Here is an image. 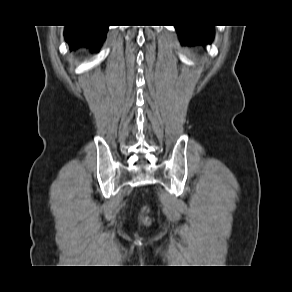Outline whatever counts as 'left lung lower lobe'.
Here are the masks:
<instances>
[{"instance_id": "left-lung-lower-lobe-1", "label": "left lung lower lobe", "mask_w": 292, "mask_h": 292, "mask_svg": "<svg viewBox=\"0 0 292 292\" xmlns=\"http://www.w3.org/2000/svg\"><path fill=\"white\" fill-rule=\"evenodd\" d=\"M183 44L210 43L213 38L212 26H176Z\"/></svg>"}]
</instances>
